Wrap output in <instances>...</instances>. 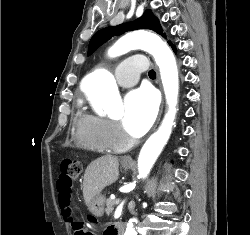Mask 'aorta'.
<instances>
[{
	"mask_svg": "<svg viewBox=\"0 0 250 235\" xmlns=\"http://www.w3.org/2000/svg\"><path fill=\"white\" fill-rule=\"evenodd\" d=\"M133 49H143L154 57L169 106L161 126L148 138L140 151L138 171L139 176L145 178L171 135L176 115L179 79L176 60L171 49L160 37L147 31H135L118 40L108 49V56L117 57ZM84 91L92 104L106 102L110 114L119 112L120 95L111 72L100 69L88 76ZM133 222H136L135 218L130 220L124 235H137Z\"/></svg>",
	"mask_w": 250,
	"mask_h": 235,
	"instance_id": "762f6f07",
	"label": "aorta"
}]
</instances>
